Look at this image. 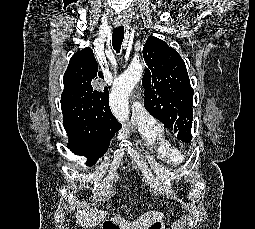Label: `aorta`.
<instances>
[{
    "mask_svg": "<svg viewBox=\"0 0 255 229\" xmlns=\"http://www.w3.org/2000/svg\"><path fill=\"white\" fill-rule=\"evenodd\" d=\"M142 73V65L133 63L113 84L110 94V107L113 115L120 122H125L128 119V96L139 82Z\"/></svg>",
    "mask_w": 255,
    "mask_h": 229,
    "instance_id": "obj_1",
    "label": "aorta"
}]
</instances>
